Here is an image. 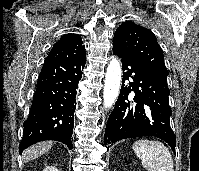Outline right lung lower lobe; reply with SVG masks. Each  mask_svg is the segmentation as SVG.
<instances>
[{"instance_id":"98d812e1","label":"right lung lower lobe","mask_w":199,"mask_h":171,"mask_svg":"<svg viewBox=\"0 0 199 171\" xmlns=\"http://www.w3.org/2000/svg\"><path fill=\"white\" fill-rule=\"evenodd\" d=\"M85 62L86 56L44 62L29 116L23 124L20 153L44 140L60 141L72 149L75 98Z\"/></svg>"}]
</instances>
